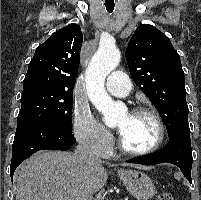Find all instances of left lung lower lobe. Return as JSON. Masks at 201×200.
<instances>
[{
  "label": "left lung lower lobe",
  "mask_w": 201,
  "mask_h": 200,
  "mask_svg": "<svg viewBox=\"0 0 201 200\" xmlns=\"http://www.w3.org/2000/svg\"><path fill=\"white\" fill-rule=\"evenodd\" d=\"M192 161L190 130H183L171 135L167 145L161 151L130 159L127 162L144 165L172 163L178 166L187 180L192 183Z\"/></svg>",
  "instance_id": "1"
}]
</instances>
